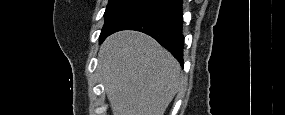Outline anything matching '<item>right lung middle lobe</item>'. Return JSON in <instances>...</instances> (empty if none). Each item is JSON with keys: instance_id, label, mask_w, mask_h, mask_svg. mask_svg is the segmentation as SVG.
<instances>
[{"instance_id": "obj_1", "label": "right lung middle lobe", "mask_w": 285, "mask_h": 115, "mask_svg": "<svg viewBox=\"0 0 285 115\" xmlns=\"http://www.w3.org/2000/svg\"><path fill=\"white\" fill-rule=\"evenodd\" d=\"M154 0H109L104 14L105 23L100 34L102 39L125 18L149 5Z\"/></svg>"}]
</instances>
